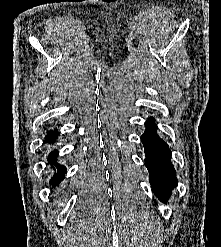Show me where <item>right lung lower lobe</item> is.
<instances>
[{
    "label": "right lung lower lobe",
    "mask_w": 221,
    "mask_h": 247,
    "mask_svg": "<svg viewBox=\"0 0 221 247\" xmlns=\"http://www.w3.org/2000/svg\"><path fill=\"white\" fill-rule=\"evenodd\" d=\"M58 134L59 133L57 130H55L54 132L51 131L47 134V137L45 139L47 142H54ZM57 155H58V152L56 150L49 154L48 160L50 164L55 163V165H57L56 163ZM65 172H66V168L62 165H58L57 174H55V176L52 178L51 184L53 186H56L61 180H63L65 176Z\"/></svg>",
    "instance_id": "obj_1"
}]
</instances>
